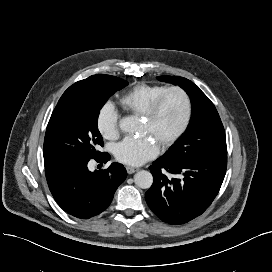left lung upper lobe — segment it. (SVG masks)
I'll return each mask as SVG.
<instances>
[{
    "instance_id": "obj_1",
    "label": "left lung upper lobe",
    "mask_w": 272,
    "mask_h": 272,
    "mask_svg": "<svg viewBox=\"0 0 272 272\" xmlns=\"http://www.w3.org/2000/svg\"><path fill=\"white\" fill-rule=\"evenodd\" d=\"M157 79L183 88L188 93L192 105V117L186 132L162 157L197 159L227 156L224 127L209 98L186 78L159 76Z\"/></svg>"
}]
</instances>
